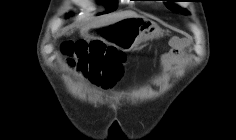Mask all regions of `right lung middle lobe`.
I'll use <instances>...</instances> for the list:
<instances>
[{"label": "right lung middle lobe", "instance_id": "obj_1", "mask_svg": "<svg viewBox=\"0 0 236 140\" xmlns=\"http://www.w3.org/2000/svg\"><path fill=\"white\" fill-rule=\"evenodd\" d=\"M108 8L104 13H109L114 11L117 8V1H105Z\"/></svg>", "mask_w": 236, "mask_h": 140}]
</instances>
